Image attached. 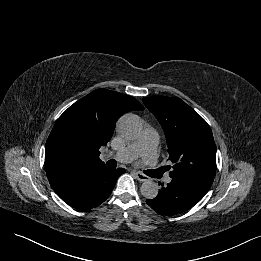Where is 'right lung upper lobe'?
Instances as JSON below:
<instances>
[{
  "mask_svg": "<svg viewBox=\"0 0 261 261\" xmlns=\"http://www.w3.org/2000/svg\"><path fill=\"white\" fill-rule=\"evenodd\" d=\"M133 110L144 107L131 96L107 89H96L71 105L57 119L46 142L50 185L103 166L100 147L112 137L117 120Z\"/></svg>",
  "mask_w": 261,
  "mask_h": 261,
  "instance_id": "obj_1",
  "label": "right lung upper lobe"
}]
</instances>
